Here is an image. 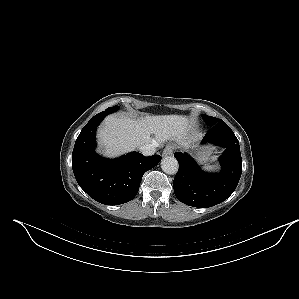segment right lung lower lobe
Returning <instances> with one entry per match:
<instances>
[{"label":"right lung lower lobe","instance_id":"98d812e1","mask_svg":"<svg viewBox=\"0 0 299 299\" xmlns=\"http://www.w3.org/2000/svg\"><path fill=\"white\" fill-rule=\"evenodd\" d=\"M110 113L105 110L95 115L83 127L73 149L72 168L79 186L91 198L102 204L119 205L136 196L143 174L155 167L161 156L131 152L110 160L97 155L96 128Z\"/></svg>","mask_w":299,"mask_h":299}]
</instances>
